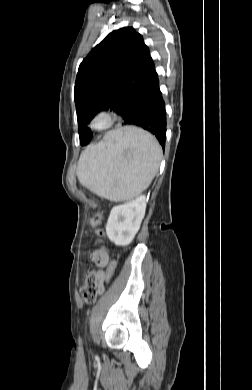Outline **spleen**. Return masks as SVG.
<instances>
[{"label": "spleen", "mask_w": 252, "mask_h": 390, "mask_svg": "<svg viewBox=\"0 0 252 390\" xmlns=\"http://www.w3.org/2000/svg\"><path fill=\"white\" fill-rule=\"evenodd\" d=\"M162 150L148 132L124 127L107 133L103 141L80 156V183L100 197L114 202L140 195L154 178Z\"/></svg>", "instance_id": "3e777b00"}]
</instances>
